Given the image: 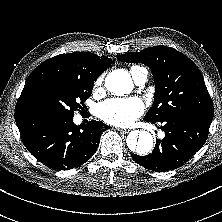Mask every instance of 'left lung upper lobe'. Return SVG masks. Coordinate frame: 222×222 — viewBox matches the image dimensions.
Returning a JSON list of instances; mask_svg holds the SVG:
<instances>
[{"label":"left lung upper lobe","instance_id":"obj_1","mask_svg":"<svg viewBox=\"0 0 222 222\" xmlns=\"http://www.w3.org/2000/svg\"><path fill=\"white\" fill-rule=\"evenodd\" d=\"M118 60L142 63L151 68L155 98L145 115L148 122H159L173 114L198 110L214 112L203 76L194 62L183 53L166 46L117 55Z\"/></svg>","mask_w":222,"mask_h":222}]
</instances>
